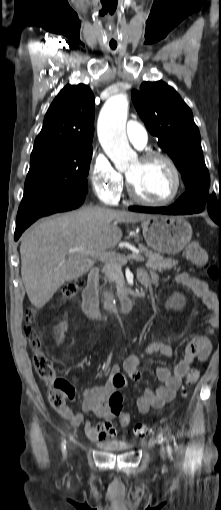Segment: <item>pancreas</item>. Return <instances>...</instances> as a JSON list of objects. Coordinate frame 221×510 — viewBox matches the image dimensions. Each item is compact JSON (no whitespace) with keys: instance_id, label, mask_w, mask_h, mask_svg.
<instances>
[{"instance_id":"obj_1","label":"pancreas","mask_w":221,"mask_h":510,"mask_svg":"<svg viewBox=\"0 0 221 510\" xmlns=\"http://www.w3.org/2000/svg\"><path fill=\"white\" fill-rule=\"evenodd\" d=\"M139 250L147 257L146 267L152 270L167 271L171 270L178 264L177 260L166 259L160 256L158 253L149 250L142 244H139ZM124 263L120 260H113L110 263H105L103 272L105 274V280L109 282L119 283L122 280L121 267Z\"/></svg>"}]
</instances>
